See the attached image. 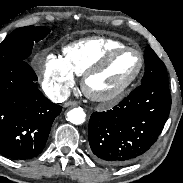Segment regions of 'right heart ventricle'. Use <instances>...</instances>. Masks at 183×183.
Listing matches in <instances>:
<instances>
[{
    "label": "right heart ventricle",
    "mask_w": 183,
    "mask_h": 183,
    "mask_svg": "<svg viewBox=\"0 0 183 183\" xmlns=\"http://www.w3.org/2000/svg\"><path fill=\"white\" fill-rule=\"evenodd\" d=\"M120 46H124V43L107 37L85 38L65 46L62 59L73 74L82 76L107 52Z\"/></svg>",
    "instance_id": "right-heart-ventricle-1"
}]
</instances>
